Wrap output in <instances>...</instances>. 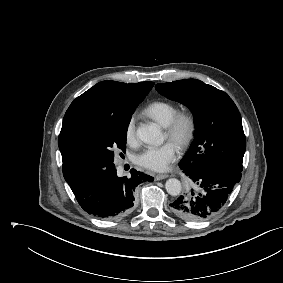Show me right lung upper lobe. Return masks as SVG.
<instances>
[{
  "instance_id": "right-lung-upper-lobe-1",
  "label": "right lung upper lobe",
  "mask_w": 283,
  "mask_h": 283,
  "mask_svg": "<svg viewBox=\"0 0 283 283\" xmlns=\"http://www.w3.org/2000/svg\"><path fill=\"white\" fill-rule=\"evenodd\" d=\"M154 86L153 82L121 83L102 81L77 97L65 113L62 129L76 116L114 114L139 105ZM63 175L68 184L94 171L85 163L60 150Z\"/></svg>"
}]
</instances>
